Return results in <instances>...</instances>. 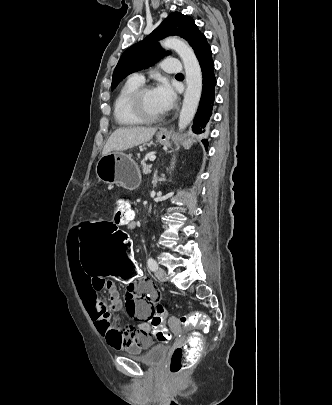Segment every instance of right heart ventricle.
Instances as JSON below:
<instances>
[{"instance_id":"1","label":"right heart ventricle","mask_w":332,"mask_h":405,"mask_svg":"<svg viewBox=\"0 0 332 405\" xmlns=\"http://www.w3.org/2000/svg\"><path fill=\"white\" fill-rule=\"evenodd\" d=\"M142 83L129 79L118 91L113 105L115 121L121 126H135L142 122L130 110V99Z\"/></svg>"}]
</instances>
